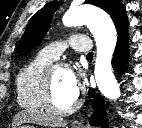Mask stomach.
Segmentation results:
<instances>
[{
  "instance_id": "stomach-1",
  "label": "stomach",
  "mask_w": 142,
  "mask_h": 128,
  "mask_svg": "<svg viewBox=\"0 0 142 128\" xmlns=\"http://www.w3.org/2000/svg\"><path fill=\"white\" fill-rule=\"evenodd\" d=\"M17 128H35V127L31 125H19Z\"/></svg>"
}]
</instances>
